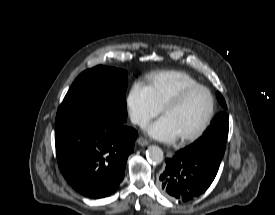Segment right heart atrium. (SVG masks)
<instances>
[{"label":"right heart atrium","instance_id":"1","mask_svg":"<svg viewBox=\"0 0 275 215\" xmlns=\"http://www.w3.org/2000/svg\"><path fill=\"white\" fill-rule=\"evenodd\" d=\"M127 106L131 121L139 126L146 125L161 111L147 87L139 82L132 85L127 96Z\"/></svg>","mask_w":275,"mask_h":215}]
</instances>
